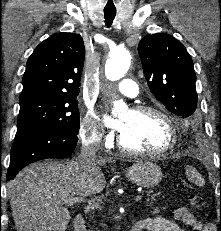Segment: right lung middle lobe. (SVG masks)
<instances>
[{
	"label": "right lung middle lobe",
	"mask_w": 221,
	"mask_h": 231,
	"mask_svg": "<svg viewBox=\"0 0 221 231\" xmlns=\"http://www.w3.org/2000/svg\"><path fill=\"white\" fill-rule=\"evenodd\" d=\"M20 100L15 139L33 128L79 132V109L76 96H32Z\"/></svg>",
	"instance_id": "right-lung-middle-lobe-1"
}]
</instances>
